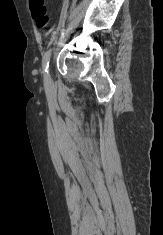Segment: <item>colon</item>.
<instances>
[{"mask_svg":"<svg viewBox=\"0 0 163 235\" xmlns=\"http://www.w3.org/2000/svg\"><path fill=\"white\" fill-rule=\"evenodd\" d=\"M32 18L38 28H45L49 24V17L45 6V0H29Z\"/></svg>","mask_w":163,"mask_h":235,"instance_id":"5ec220e1","label":"colon"}]
</instances>
